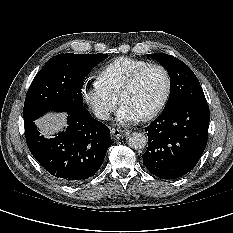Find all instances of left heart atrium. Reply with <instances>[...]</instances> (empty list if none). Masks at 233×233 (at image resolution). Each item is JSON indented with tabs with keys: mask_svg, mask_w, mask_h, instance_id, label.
I'll list each match as a JSON object with an SVG mask.
<instances>
[{
	"mask_svg": "<svg viewBox=\"0 0 233 233\" xmlns=\"http://www.w3.org/2000/svg\"><path fill=\"white\" fill-rule=\"evenodd\" d=\"M117 120L122 124H132L138 122L140 117L129 107L122 105L118 111Z\"/></svg>",
	"mask_w": 233,
	"mask_h": 233,
	"instance_id": "left-heart-atrium-1",
	"label": "left heart atrium"
}]
</instances>
